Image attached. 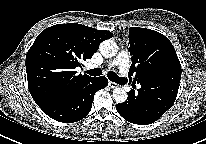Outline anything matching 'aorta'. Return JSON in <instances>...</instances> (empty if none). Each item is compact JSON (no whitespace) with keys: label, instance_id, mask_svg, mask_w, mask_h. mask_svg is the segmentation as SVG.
<instances>
[{"label":"aorta","instance_id":"1","mask_svg":"<svg viewBox=\"0 0 206 144\" xmlns=\"http://www.w3.org/2000/svg\"><path fill=\"white\" fill-rule=\"evenodd\" d=\"M99 50L104 57L112 58L117 54L118 46L113 40L107 39L100 44ZM112 96L117 103H124L128 97L127 92L121 87L115 88Z\"/></svg>","mask_w":206,"mask_h":144}]
</instances>
